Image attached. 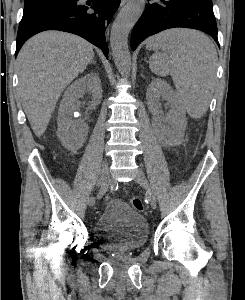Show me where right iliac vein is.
Masks as SVG:
<instances>
[{"instance_id":"63e3f726","label":"right iliac vein","mask_w":245,"mask_h":300,"mask_svg":"<svg viewBox=\"0 0 245 300\" xmlns=\"http://www.w3.org/2000/svg\"><path fill=\"white\" fill-rule=\"evenodd\" d=\"M108 165H109L108 161L105 159L103 161V163H102V166H101V172H100V175H101V184H100V186H103L102 185L103 177H108V183H109V174H108L109 169H108ZM94 204H95L94 197H90L88 199V205L89 206H93Z\"/></svg>"}]
</instances>
